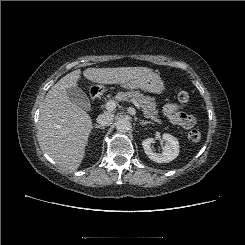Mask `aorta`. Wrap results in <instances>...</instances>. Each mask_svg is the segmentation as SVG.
Returning <instances> with one entry per match:
<instances>
[{
  "mask_svg": "<svg viewBox=\"0 0 245 245\" xmlns=\"http://www.w3.org/2000/svg\"><path fill=\"white\" fill-rule=\"evenodd\" d=\"M116 129L121 133H126L131 129V123L128 119L120 118L116 122Z\"/></svg>",
  "mask_w": 245,
  "mask_h": 245,
  "instance_id": "obj_1",
  "label": "aorta"
}]
</instances>
